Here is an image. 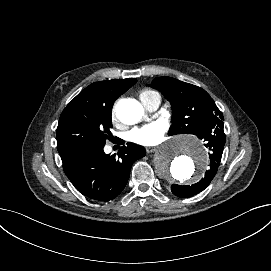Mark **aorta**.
Segmentation results:
<instances>
[{"label": "aorta", "mask_w": 271, "mask_h": 271, "mask_svg": "<svg viewBox=\"0 0 271 271\" xmlns=\"http://www.w3.org/2000/svg\"><path fill=\"white\" fill-rule=\"evenodd\" d=\"M144 114L142 105L134 99H124L116 106L117 118L125 124H135ZM157 173L169 182L191 183L207 167V153L193 137H179L163 144L154 156Z\"/></svg>", "instance_id": "762f6f07"}]
</instances>
